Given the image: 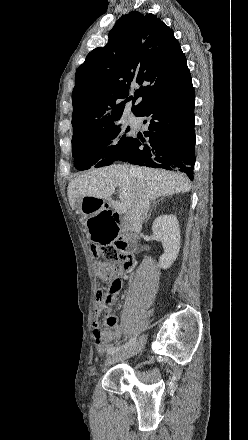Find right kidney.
I'll return each instance as SVG.
<instances>
[{
    "label": "right kidney",
    "instance_id": "ca27d5eb",
    "mask_svg": "<svg viewBox=\"0 0 248 440\" xmlns=\"http://www.w3.org/2000/svg\"><path fill=\"white\" fill-rule=\"evenodd\" d=\"M153 234L162 242L164 254L160 257L159 267L170 268L180 250V227L175 215H161L152 225Z\"/></svg>",
    "mask_w": 248,
    "mask_h": 440
}]
</instances>
